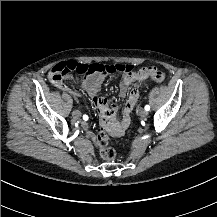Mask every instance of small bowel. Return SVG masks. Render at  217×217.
<instances>
[{"label": "small bowel", "instance_id": "c3829d8e", "mask_svg": "<svg viewBox=\"0 0 217 217\" xmlns=\"http://www.w3.org/2000/svg\"><path fill=\"white\" fill-rule=\"evenodd\" d=\"M153 70H156V68L152 66H146L140 68L137 71L125 73L123 75L119 86V95L120 97H128L123 107L121 120L118 121V124L117 118L115 116V112L118 108L117 105L113 104L111 107L108 106L106 98L100 94V89L104 81V75L94 74L85 76L77 82L81 89L90 96L91 102L96 106L99 113L101 114L99 118L100 125L103 129L107 130L106 133L108 137L113 138L122 135L123 129L128 127L130 123V115L140 96V92L136 88H133L128 92L129 87L134 81H143L151 78ZM57 87L74 97L80 96L76 90L69 88L63 82ZM83 127L86 129L87 135L94 140L95 147L99 149L100 135L96 136L93 132L87 130L85 123L83 124Z\"/></svg>", "mask_w": 217, "mask_h": 217}]
</instances>
